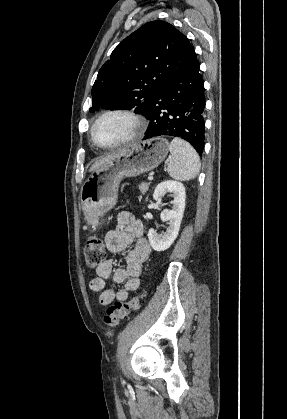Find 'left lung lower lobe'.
Returning <instances> with one entry per match:
<instances>
[{
    "mask_svg": "<svg viewBox=\"0 0 287 419\" xmlns=\"http://www.w3.org/2000/svg\"><path fill=\"white\" fill-rule=\"evenodd\" d=\"M204 82L196 59L167 82L153 98L144 139L173 136L188 141L202 155L204 149Z\"/></svg>",
    "mask_w": 287,
    "mask_h": 419,
    "instance_id": "obj_1",
    "label": "left lung lower lobe"
}]
</instances>
